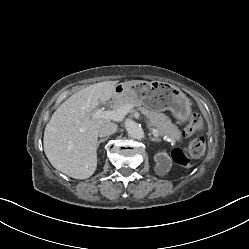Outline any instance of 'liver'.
<instances>
[{
    "mask_svg": "<svg viewBox=\"0 0 249 249\" xmlns=\"http://www.w3.org/2000/svg\"><path fill=\"white\" fill-rule=\"evenodd\" d=\"M118 81L90 85L64 101L53 113L44 131V151L52 166L75 178L92 176L97 167V139L101 125L109 119L94 118L101 102L115 95Z\"/></svg>",
    "mask_w": 249,
    "mask_h": 249,
    "instance_id": "1",
    "label": "liver"
}]
</instances>
